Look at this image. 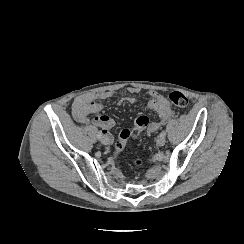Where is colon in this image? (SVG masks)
I'll return each instance as SVG.
<instances>
[{"label":"colon","instance_id":"1","mask_svg":"<svg viewBox=\"0 0 244 244\" xmlns=\"http://www.w3.org/2000/svg\"><path fill=\"white\" fill-rule=\"evenodd\" d=\"M169 101L172 105L184 108L189 104V100L186 95L180 91H173L168 95ZM150 119L146 115H141L137 118L132 128L131 134L136 136L139 135L142 130H144L147 125L149 124ZM130 135V131L127 129H123L120 131L119 135L117 136L115 147H114V155H119L122 153L127 145V141ZM133 163L137 166L141 165L143 161L141 159L133 160Z\"/></svg>","mask_w":244,"mask_h":244}]
</instances>
